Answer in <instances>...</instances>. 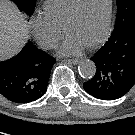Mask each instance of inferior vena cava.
Wrapping results in <instances>:
<instances>
[{
    "label": "inferior vena cava",
    "mask_w": 135,
    "mask_h": 135,
    "mask_svg": "<svg viewBox=\"0 0 135 135\" xmlns=\"http://www.w3.org/2000/svg\"><path fill=\"white\" fill-rule=\"evenodd\" d=\"M40 46L43 49L55 48L57 47V40L54 38H47L40 43Z\"/></svg>",
    "instance_id": "inferior-vena-cava-1"
}]
</instances>
